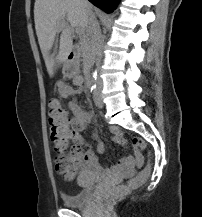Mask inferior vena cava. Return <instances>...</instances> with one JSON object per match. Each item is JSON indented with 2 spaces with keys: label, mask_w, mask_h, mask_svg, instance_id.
Listing matches in <instances>:
<instances>
[{
  "label": "inferior vena cava",
  "mask_w": 202,
  "mask_h": 217,
  "mask_svg": "<svg viewBox=\"0 0 202 217\" xmlns=\"http://www.w3.org/2000/svg\"><path fill=\"white\" fill-rule=\"evenodd\" d=\"M80 2L84 6L87 14V32L90 35L92 46L96 54V66L99 68L103 57V37L100 25L89 5L88 0H80ZM96 83L98 85L102 84L101 79L98 78Z\"/></svg>",
  "instance_id": "obj_1"
}]
</instances>
